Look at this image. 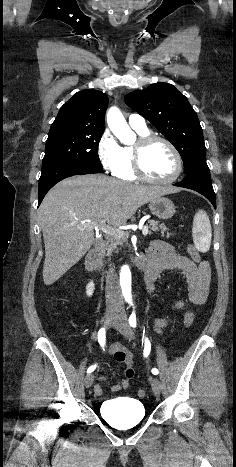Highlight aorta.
Instances as JSON below:
<instances>
[{
  "label": "aorta",
  "mask_w": 236,
  "mask_h": 467,
  "mask_svg": "<svg viewBox=\"0 0 236 467\" xmlns=\"http://www.w3.org/2000/svg\"><path fill=\"white\" fill-rule=\"evenodd\" d=\"M107 124L112 133L124 144H130L134 134L127 124L122 112L117 107H111L107 112ZM120 285L123 296L131 300V271L124 265L120 271Z\"/></svg>",
  "instance_id": "obj_1"
}]
</instances>
